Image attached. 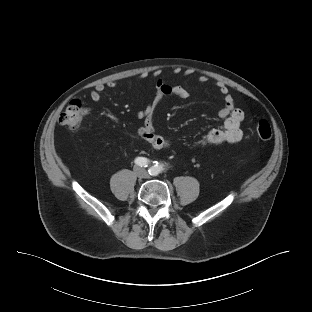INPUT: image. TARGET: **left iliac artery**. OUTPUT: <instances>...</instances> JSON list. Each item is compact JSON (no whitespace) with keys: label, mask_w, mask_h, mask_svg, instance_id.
<instances>
[{"label":"left iliac artery","mask_w":312,"mask_h":312,"mask_svg":"<svg viewBox=\"0 0 312 312\" xmlns=\"http://www.w3.org/2000/svg\"><path fill=\"white\" fill-rule=\"evenodd\" d=\"M155 163L156 164L148 170L150 175H157L160 171V168L158 166V162L155 161Z\"/></svg>","instance_id":"obj_1"}]
</instances>
